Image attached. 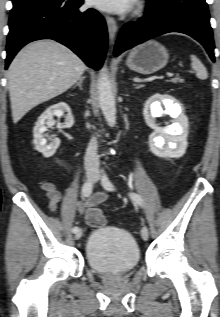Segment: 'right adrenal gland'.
<instances>
[{"instance_id":"2a0ac1e0","label":"right adrenal gland","mask_w":220,"mask_h":317,"mask_svg":"<svg viewBox=\"0 0 220 317\" xmlns=\"http://www.w3.org/2000/svg\"><path fill=\"white\" fill-rule=\"evenodd\" d=\"M84 80H85V76L80 77L79 81L73 86V88L78 86L80 88V90H82V83Z\"/></svg>"}]
</instances>
